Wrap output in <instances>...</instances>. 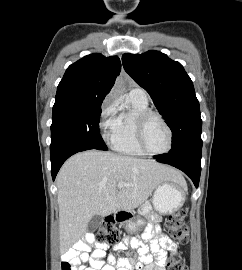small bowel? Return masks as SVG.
I'll return each instance as SVG.
<instances>
[{"mask_svg":"<svg viewBox=\"0 0 242 270\" xmlns=\"http://www.w3.org/2000/svg\"><path fill=\"white\" fill-rule=\"evenodd\" d=\"M155 226L149 223L145 226L142 237L147 244H142L137 237L126 238L115 246L117 251L126 248L136 250L138 258L107 256L105 245L94 241L91 235H85L82 241L76 243L73 249L67 251L62 264L69 263L72 270H166V251L177 252L176 243L167 235L160 233L158 220L154 219ZM93 247V252L89 251ZM155 258V259H154ZM106 260V261H105Z\"/></svg>","mask_w":242,"mask_h":270,"instance_id":"1","label":"small bowel"}]
</instances>
